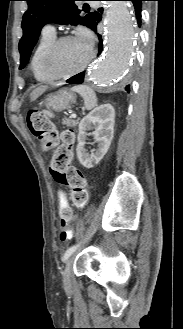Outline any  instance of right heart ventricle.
I'll use <instances>...</instances> for the list:
<instances>
[{
    "mask_svg": "<svg viewBox=\"0 0 183 329\" xmlns=\"http://www.w3.org/2000/svg\"><path fill=\"white\" fill-rule=\"evenodd\" d=\"M56 39L55 33L43 32L31 57V69L39 82H50L52 79L44 68V57L52 42Z\"/></svg>",
    "mask_w": 183,
    "mask_h": 329,
    "instance_id": "obj_1",
    "label": "right heart ventricle"
}]
</instances>
